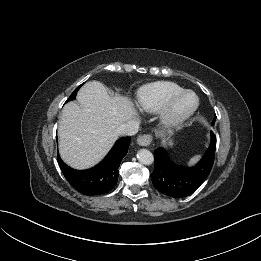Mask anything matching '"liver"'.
<instances>
[{
	"mask_svg": "<svg viewBox=\"0 0 261 261\" xmlns=\"http://www.w3.org/2000/svg\"><path fill=\"white\" fill-rule=\"evenodd\" d=\"M77 100L67 103L58 127L59 153L64 162L76 169L97 164L112 148L122 124L137 116L127 97L109 96L98 81L85 83Z\"/></svg>",
	"mask_w": 261,
	"mask_h": 261,
	"instance_id": "6515ba94",
	"label": "liver"
}]
</instances>
